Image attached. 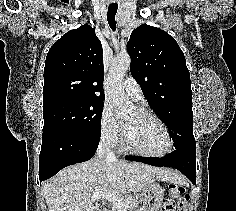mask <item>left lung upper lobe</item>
Segmentation results:
<instances>
[{
    "mask_svg": "<svg viewBox=\"0 0 236 211\" xmlns=\"http://www.w3.org/2000/svg\"><path fill=\"white\" fill-rule=\"evenodd\" d=\"M127 51L131 75L169 129L175 150L195 151L190 74L175 39L143 24L131 33Z\"/></svg>",
    "mask_w": 236,
    "mask_h": 211,
    "instance_id": "5c2ea615",
    "label": "left lung upper lobe"
}]
</instances>
